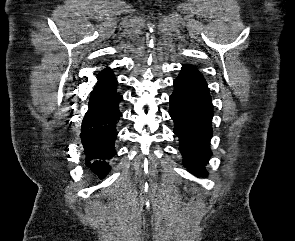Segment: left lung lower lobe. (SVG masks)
<instances>
[{
  "instance_id": "0a47b994",
  "label": "left lung lower lobe",
  "mask_w": 295,
  "mask_h": 241,
  "mask_svg": "<svg viewBox=\"0 0 295 241\" xmlns=\"http://www.w3.org/2000/svg\"><path fill=\"white\" fill-rule=\"evenodd\" d=\"M169 114L174 121V133L179 137L183 164L195 175L207 176L204 168L212 155L213 105L208 90L193 83L184 75L173 82Z\"/></svg>"
}]
</instances>
